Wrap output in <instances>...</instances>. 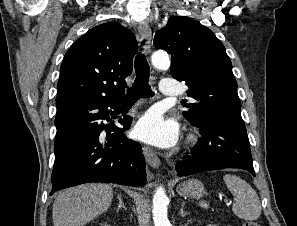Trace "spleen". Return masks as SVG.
Returning <instances> with one entry per match:
<instances>
[{"instance_id":"obj_1","label":"spleen","mask_w":297,"mask_h":226,"mask_svg":"<svg viewBox=\"0 0 297 226\" xmlns=\"http://www.w3.org/2000/svg\"><path fill=\"white\" fill-rule=\"evenodd\" d=\"M223 180L236 202L232 206L234 214L246 221L257 220L261 214V203L256 191L245 180L232 174H226ZM199 205L208 208V204L201 201Z\"/></svg>"}]
</instances>
